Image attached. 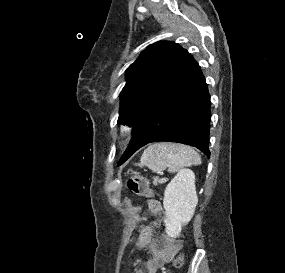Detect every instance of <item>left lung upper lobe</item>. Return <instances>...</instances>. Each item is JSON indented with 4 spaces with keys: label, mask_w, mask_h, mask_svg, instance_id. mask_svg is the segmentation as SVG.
<instances>
[{
    "label": "left lung upper lobe",
    "mask_w": 285,
    "mask_h": 273,
    "mask_svg": "<svg viewBox=\"0 0 285 273\" xmlns=\"http://www.w3.org/2000/svg\"><path fill=\"white\" fill-rule=\"evenodd\" d=\"M190 54L171 41L148 46L126 71L118 124L134 126L175 84Z\"/></svg>",
    "instance_id": "left-lung-upper-lobe-1"
}]
</instances>
